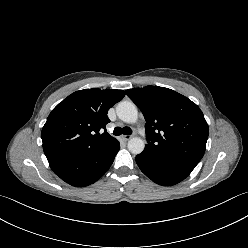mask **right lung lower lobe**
Masks as SVG:
<instances>
[{"label": "right lung lower lobe", "instance_id": "right-lung-lower-lobe-1", "mask_svg": "<svg viewBox=\"0 0 248 248\" xmlns=\"http://www.w3.org/2000/svg\"><path fill=\"white\" fill-rule=\"evenodd\" d=\"M120 144L116 140L107 148L84 156H53L47 158L53 172L66 183L83 187L103 176L114 161Z\"/></svg>", "mask_w": 248, "mask_h": 248}]
</instances>
